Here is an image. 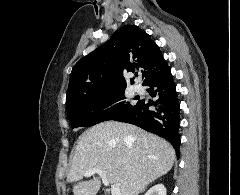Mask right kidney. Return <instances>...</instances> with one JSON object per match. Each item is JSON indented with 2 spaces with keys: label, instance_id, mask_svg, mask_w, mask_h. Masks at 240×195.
Instances as JSON below:
<instances>
[{
  "label": "right kidney",
  "instance_id": "1",
  "mask_svg": "<svg viewBox=\"0 0 240 195\" xmlns=\"http://www.w3.org/2000/svg\"><path fill=\"white\" fill-rule=\"evenodd\" d=\"M145 195H166V187L163 183H157V185L150 187Z\"/></svg>",
  "mask_w": 240,
  "mask_h": 195
}]
</instances>
